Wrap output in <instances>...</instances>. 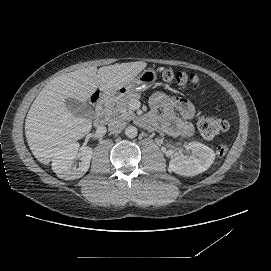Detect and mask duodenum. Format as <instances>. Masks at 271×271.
<instances>
[{"instance_id":"obj_1","label":"duodenum","mask_w":271,"mask_h":271,"mask_svg":"<svg viewBox=\"0 0 271 271\" xmlns=\"http://www.w3.org/2000/svg\"><path fill=\"white\" fill-rule=\"evenodd\" d=\"M114 100L113 94H102L98 100L96 105V125L100 126L105 124L111 117V109H112V103Z\"/></svg>"}]
</instances>
